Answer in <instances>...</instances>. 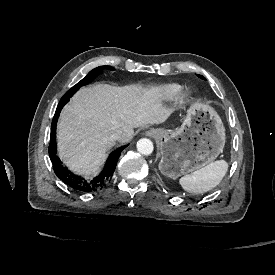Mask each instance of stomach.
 <instances>
[{"instance_id": "stomach-1", "label": "stomach", "mask_w": 275, "mask_h": 275, "mask_svg": "<svg viewBox=\"0 0 275 275\" xmlns=\"http://www.w3.org/2000/svg\"><path fill=\"white\" fill-rule=\"evenodd\" d=\"M161 174L177 179L212 163L225 145V130L219 115L212 108L196 105L176 131L157 129Z\"/></svg>"}]
</instances>
